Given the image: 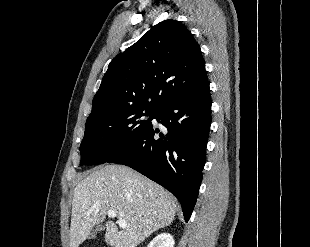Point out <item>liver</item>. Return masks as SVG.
Wrapping results in <instances>:
<instances>
[{
    "label": "liver",
    "instance_id": "liver-1",
    "mask_svg": "<svg viewBox=\"0 0 310 247\" xmlns=\"http://www.w3.org/2000/svg\"><path fill=\"white\" fill-rule=\"evenodd\" d=\"M177 200L163 187L131 168L106 165L92 171L74 189L69 247H78L102 223L108 210L127 223L119 231L105 224V242L111 247H136L155 231L169 226Z\"/></svg>",
    "mask_w": 310,
    "mask_h": 247
}]
</instances>
